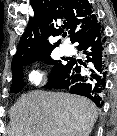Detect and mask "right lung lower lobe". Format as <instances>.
<instances>
[{
	"label": "right lung lower lobe",
	"mask_w": 117,
	"mask_h": 136,
	"mask_svg": "<svg viewBox=\"0 0 117 136\" xmlns=\"http://www.w3.org/2000/svg\"><path fill=\"white\" fill-rule=\"evenodd\" d=\"M104 30L98 21L91 29L84 32L78 39V50L86 55L85 68L78 65L76 59H70L50 78L46 89H65L72 94L82 95L91 99L97 107L104 104L102 96L107 79V49Z\"/></svg>",
	"instance_id": "obj_1"
}]
</instances>
